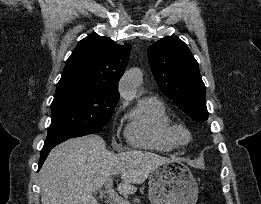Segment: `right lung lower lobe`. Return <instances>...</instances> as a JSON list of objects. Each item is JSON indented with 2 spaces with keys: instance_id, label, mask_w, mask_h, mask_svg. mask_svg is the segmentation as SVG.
Returning a JSON list of instances; mask_svg holds the SVG:
<instances>
[{
  "instance_id": "98d812e1",
  "label": "right lung lower lobe",
  "mask_w": 261,
  "mask_h": 204,
  "mask_svg": "<svg viewBox=\"0 0 261 204\" xmlns=\"http://www.w3.org/2000/svg\"><path fill=\"white\" fill-rule=\"evenodd\" d=\"M67 139H69V137H64V138H60V139H55L52 141H45V144L41 150V157L38 163L39 169L41 168V166L43 165L45 159L47 158L49 152L51 151L52 148H54L56 145L66 141Z\"/></svg>"
}]
</instances>
